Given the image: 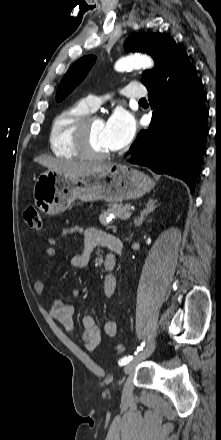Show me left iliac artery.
I'll list each match as a JSON object with an SVG mask.
<instances>
[{
  "label": "left iliac artery",
  "instance_id": "left-iliac-artery-1",
  "mask_svg": "<svg viewBox=\"0 0 221 440\" xmlns=\"http://www.w3.org/2000/svg\"><path fill=\"white\" fill-rule=\"evenodd\" d=\"M143 346H145V343H144V342L141 344L140 347L137 348V351L135 352V355H136L139 351L142 350V347H143ZM132 359H133V356H131V355L128 356V357H125V358H123V359H121V360L119 361V365H126V364L129 363Z\"/></svg>",
  "mask_w": 221,
  "mask_h": 440
}]
</instances>
